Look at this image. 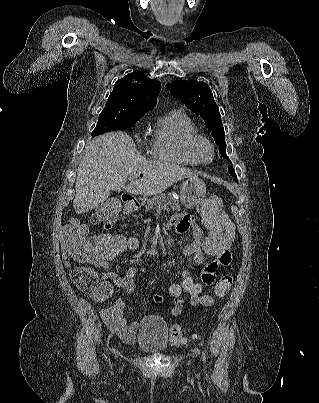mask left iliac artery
Returning a JSON list of instances; mask_svg holds the SVG:
<instances>
[{
	"label": "left iliac artery",
	"mask_w": 319,
	"mask_h": 403,
	"mask_svg": "<svg viewBox=\"0 0 319 403\" xmlns=\"http://www.w3.org/2000/svg\"><path fill=\"white\" fill-rule=\"evenodd\" d=\"M202 356H203V360L205 361V353L204 352L202 353Z\"/></svg>",
	"instance_id": "left-iliac-artery-1"
}]
</instances>
